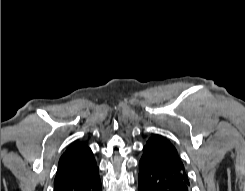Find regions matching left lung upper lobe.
<instances>
[{"instance_id": "obj_1", "label": "left lung upper lobe", "mask_w": 245, "mask_h": 191, "mask_svg": "<svg viewBox=\"0 0 245 191\" xmlns=\"http://www.w3.org/2000/svg\"><path fill=\"white\" fill-rule=\"evenodd\" d=\"M144 148H147L151 151H156L162 156H165L171 160L177 161L183 165L179 154L174 147V145L167 139L162 136H153L150 138Z\"/></svg>"}]
</instances>
